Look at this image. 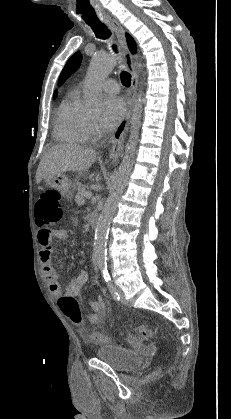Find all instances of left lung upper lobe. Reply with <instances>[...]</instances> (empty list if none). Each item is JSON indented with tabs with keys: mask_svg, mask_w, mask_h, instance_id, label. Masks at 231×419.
Segmentation results:
<instances>
[{
	"mask_svg": "<svg viewBox=\"0 0 231 419\" xmlns=\"http://www.w3.org/2000/svg\"><path fill=\"white\" fill-rule=\"evenodd\" d=\"M82 60V55L80 52H76L66 63L64 69L61 72V75L59 77V84L63 83L64 80L72 74L74 71L77 70V68L80 65V62Z\"/></svg>",
	"mask_w": 231,
	"mask_h": 419,
	"instance_id": "left-lung-upper-lobe-1",
	"label": "left lung upper lobe"
}]
</instances>
